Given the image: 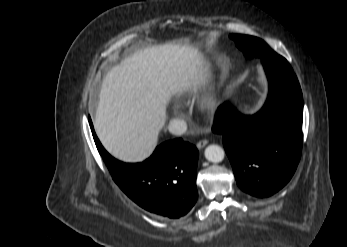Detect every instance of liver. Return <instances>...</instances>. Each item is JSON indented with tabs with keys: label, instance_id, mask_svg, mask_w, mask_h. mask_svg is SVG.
<instances>
[{
	"label": "liver",
	"instance_id": "6515ba94",
	"mask_svg": "<svg viewBox=\"0 0 347 247\" xmlns=\"http://www.w3.org/2000/svg\"><path fill=\"white\" fill-rule=\"evenodd\" d=\"M210 80L198 49L165 43L125 57L103 78L94 119L96 134L115 158L139 163L153 153L175 95L196 93Z\"/></svg>",
	"mask_w": 347,
	"mask_h": 247
}]
</instances>
